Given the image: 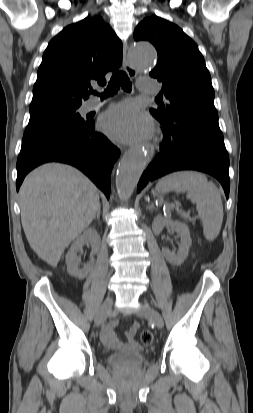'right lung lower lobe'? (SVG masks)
I'll use <instances>...</instances> for the list:
<instances>
[{
	"instance_id": "obj_1",
	"label": "right lung lower lobe",
	"mask_w": 253,
	"mask_h": 413,
	"mask_svg": "<svg viewBox=\"0 0 253 413\" xmlns=\"http://www.w3.org/2000/svg\"><path fill=\"white\" fill-rule=\"evenodd\" d=\"M120 151L103 134L94 131V121L79 130L22 143L17 160L16 189L35 167L46 162L67 163L80 169L110 196V175Z\"/></svg>"
}]
</instances>
